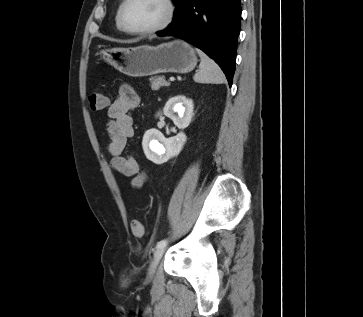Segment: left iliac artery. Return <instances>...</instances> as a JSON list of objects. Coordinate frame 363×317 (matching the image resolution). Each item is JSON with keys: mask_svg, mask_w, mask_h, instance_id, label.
Segmentation results:
<instances>
[{"mask_svg": "<svg viewBox=\"0 0 363 317\" xmlns=\"http://www.w3.org/2000/svg\"><path fill=\"white\" fill-rule=\"evenodd\" d=\"M166 244H167V240L166 239H163V240H161V241H159L158 243H157V248H160V247H165L166 246Z\"/></svg>", "mask_w": 363, "mask_h": 317, "instance_id": "obj_1", "label": "left iliac artery"}]
</instances>
